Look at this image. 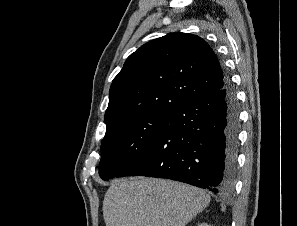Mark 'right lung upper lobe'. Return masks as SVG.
Instances as JSON below:
<instances>
[{
  "mask_svg": "<svg viewBox=\"0 0 297 226\" xmlns=\"http://www.w3.org/2000/svg\"><path fill=\"white\" fill-rule=\"evenodd\" d=\"M227 75L211 47L189 33H171L132 53L114 78L107 126L153 111H174L185 101L224 87Z\"/></svg>",
  "mask_w": 297,
  "mask_h": 226,
  "instance_id": "1",
  "label": "right lung upper lobe"
}]
</instances>
